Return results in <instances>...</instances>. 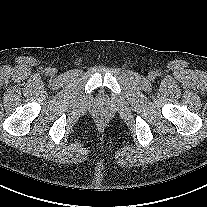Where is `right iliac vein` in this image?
<instances>
[{"label": "right iliac vein", "instance_id": "63e3f726", "mask_svg": "<svg viewBox=\"0 0 207 207\" xmlns=\"http://www.w3.org/2000/svg\"><path fill=\"white\" fill-rule=\"evenodd\" d=\"M51 74H54V71H51Z\"/></svg>", "mask_w": 207, "mask_h": 207}]
</instances>
